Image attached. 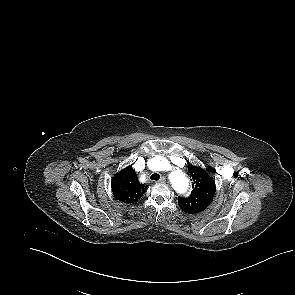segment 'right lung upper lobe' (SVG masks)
Returning a JSON list of instances; mask_svg holds the SVG:
<instances>
[{
  "label": "right lung upper lobe",
  "instance_id": "cb5924a9",
  "mask_svg": "<svg viewBox=\"0 0 295 295\" xmlns=\"http://www.w3.org/2000/svg\"><path fill=\"white\" fill-rule=\"evenodd\" d=\"M112 192L117 200L135 202L145 193L147 186L140 184L131 166L117 173L112 179Z\"/></svg>",
  "mask_w": 295,
  "mask_h": 295
}]
</instances>
